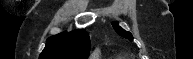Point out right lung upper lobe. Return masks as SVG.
<instances>
[{"label":"right lung upper lobe","instance_id":"cb5924a9","mask_svg":"<svg viewBox=\"0 0 193 59\" xmlns=\"http://www.w3.org/2000/svg\"><path fill=\"white\" fill-rule=\"evenodd\" d=\"M90 47V38L85 30L63 32L48 38L39 59H86Z\"/></svg>","mask_w":193,"mask_h":59}]
</instances>
